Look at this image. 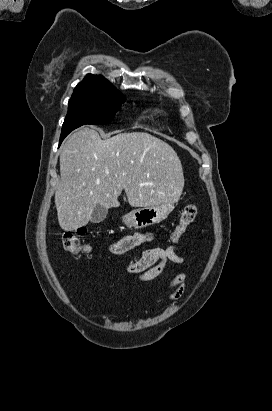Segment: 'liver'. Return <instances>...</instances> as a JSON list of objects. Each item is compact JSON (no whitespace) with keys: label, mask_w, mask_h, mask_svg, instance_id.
Segmentation results:
<instances>
[{"label":"liver","mask_w":272,"mask_h":411,"mask_svg":"<svg viewBox=\"0 0 272 411\" xmlns=\"http://www.w3.org/2000/svg\"><path fill=\"white\" fill-rule=\"evenodd\" d=\"M60 176L55 205L65 231L87 225L97 204L119 207L123 189L130 206L151 207L177 201L184 186L181 161L163 140L146 132L102 140L88 127L65 141Z\"/></svg>","instance_id":"liver-1"}]
</instances>
